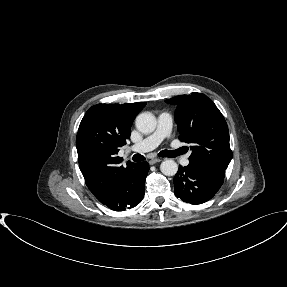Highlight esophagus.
<instances>
[{"label": "esophagus", "instance_id": "1", "mask_svg": "<svg viewBox=\"0 0 287 287\" xmlns=\"http://www.w3.org/2000/svg\"><path fill=\"white\" fill-rule=\"evenodd\" d=\"M161 161H162L161 158H152V159L149 160V164H150V165H153V164L159 163V162H161Z\"/></svg>", "mask_w": 287, "mask_h": 287}]
</instances>
